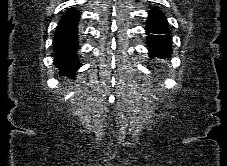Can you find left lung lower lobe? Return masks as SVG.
Here are the masks:
<instances>
[{"label":"left lung lower lobe","mask_w":227,"mask_h":166,"mask_svg":"<svg viewBox=\"0 0 227 166\" xmlns=\"http://www.w3.org/2000/svg\"><path fill=\"white\" fill-rule=\"evenodd\" d=\"M169 32L168 22L163 13L158 9H152L146 25L148 49L151 58L154 56H169L172 52V37Z\"/></svg>","instance_id":"left-lung-lower-lobe-1"}]
</instances>
